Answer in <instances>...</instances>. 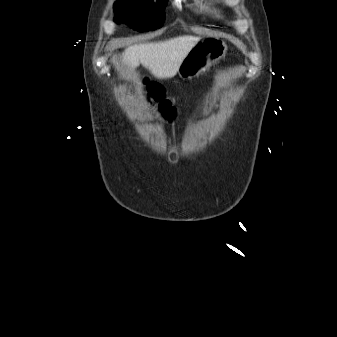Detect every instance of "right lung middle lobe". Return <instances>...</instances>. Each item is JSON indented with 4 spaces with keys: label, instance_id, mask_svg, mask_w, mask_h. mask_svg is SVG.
Returning a JSON list of instances; mask_svg holds the SVG:
<instances>
[{
    "label": "right lung middle lobe",
    "instance_id": "right-lung-middle-lobe-1",
    "mask_svg": "<svg viewBox=\"0 0 337 337\" xmlns=\"http://www.w3.org/2000/svg\"><path fill=\"white\" fill-rule=\"evenodd\" d=\"M166 0H118L114 4L116 23H125L137 31H149L160 28L165 20Z\"/></svg>",
    "mask_w": 337,
    "mask_h": 337
}]
</instances>
